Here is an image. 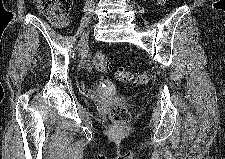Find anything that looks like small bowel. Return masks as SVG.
<instances>
[{"instance_id": "obj_1", "label": "small bowel", "mask_w": 225, "mask_h": 159, "mask_svg": "<svg viewBox=\"0 0 225 159\" xmlns=\"http://www.w3.org/2000/svg\"><path fill=\"white\" fill-rule=\"evenodd\" d=\"M84 66L86 68H91L93 66V60L91 57H87L84 61ZM101 82L93 87H87L83 81L78 82V87L87 94H94L98 90Z\"/></svg>"}]
</instances>
